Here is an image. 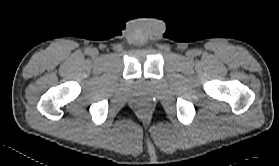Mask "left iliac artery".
Here are the masks:
<instances>
[{
	"mask_svg": "<svg viewBox=\"0 0 279 166\" xmlns=\"http://www.w3.org/2000/svg\"><path fill=\"white\" fill-rule=\"evenodd\" d=\"M196 54H197V55H199V54H200V52H199V51H197V52H196Z\"/></svg>",
	"mask_w": 279,
	"mask_h": 166,
	"instance_id": "obj_1",
	"label": "left iliac artery"
}]
</instances>
